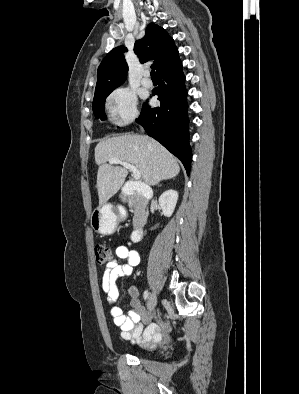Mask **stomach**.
I'll return each instance as SVG.
<instances>
[{
	"mask_svg": "<svg viewBox=\"0 0 299 394\" xmlns=\"http://www.w3.org/2000/svg\"><path fill=\"white\" fill-rule=\"evenodd\" d=\"M119 215L114 211L113 205L103 204L94 209L91 214V227L102 235L113 234L116 230Z\"/></svg>",
	"mask_w": 299,
	"mask_h": 394,
	"instance_id": "1",
	"label": "stomach"
}]
</instances>
